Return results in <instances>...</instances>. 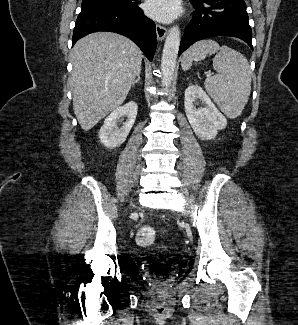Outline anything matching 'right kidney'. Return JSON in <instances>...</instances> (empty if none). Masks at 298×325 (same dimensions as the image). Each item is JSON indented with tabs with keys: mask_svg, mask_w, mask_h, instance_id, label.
I'll use <instances>...</instances> for the list:
<instances>
[{
	"mask_svg": "<svg viewBox=\"0 0 298 325\" xmlns=\"http://www.w3.org/2000/svg\"><path fill=\"white\" fill-rule=\"evenodd\" d=\"M138 106L134 100H129L124 106H118L111 114H108L99 130V138L107 148L120 146L125 142L136 118ZM120 116H127L123 126L118 128L117 122Z\"/></svg>",
	"mask_w": 298,
	"mask_h": 325,
	"instance_id": "right-kidney-1",
	"label": "right kidney"
}]
</instances>
